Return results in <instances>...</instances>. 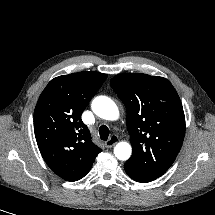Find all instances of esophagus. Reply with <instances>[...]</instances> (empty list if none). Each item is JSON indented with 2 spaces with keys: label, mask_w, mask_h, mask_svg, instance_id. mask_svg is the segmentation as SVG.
<instances>
[{
  "label": "esophagus",
  "mask_w": 215,
  "mask_h": 215,
  "mask_svg": "<svg viewBox=\"0 0 215 215\" xmlns=\"http://www.w3.org/2000/svg\"><path fill=\"white\" fill-rule=\"evenodd\" d=\"M119 141L118 136L112 135L109 140L106 141L105 145L107 148L113 147Z\"/></svg>",
  "instance_id": "1"
}]
</instances>
